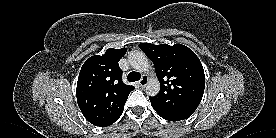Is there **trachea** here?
<instances>
[{
    "mask_svg": "<svg viewBox=\"0 0 276 138\" xmlns=\"http://www.w3.org/2000/svg\"><path fill=\"white\" fill-rule=\"evenodd\" d=\"M127 79L130 82H135L141 79V75L139 72L132 71L128 74Z\"/></svg>",
    "mask_w": 276,
    "mask_h": 138,
    "instance_id": "3493384b",
    "label": "trachea"
}]
</instances>
